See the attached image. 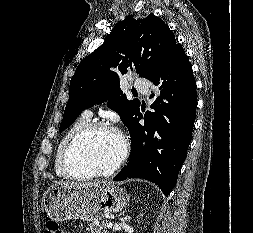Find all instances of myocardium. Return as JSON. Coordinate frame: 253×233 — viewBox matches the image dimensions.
Returning <instances> with one entry per match:
<instances>
[{
	"instance_id": "1",
	"label": "myocardium",
	"mask_w": 253,
	"mask_h": 233,
	"mask_svg": "<svg viewBox=\"0 0 253 233\" xmlns=\"http://www.w3.org/2000/svg\"><path fill=\"white\" fill-rule=\"evenodd\" d=\"M98 130H110V131L115 132L120 137L121 153L118 159L115 161V163L111 167H109L106 170H93L85 174L75 173L70 166V155H71L72 150L82 138ZM128 154H129V142L121 130H119L118 128H116L115 126L109 123H106L103 121H94V122H89L70 139V141L65 147V150L62 156V167L67 177L74 180H84V179H90V178L101 177V176L107 177L115 173L124 164V162L126 161L128 157Z\"/></svg>"
}]
</instances>
